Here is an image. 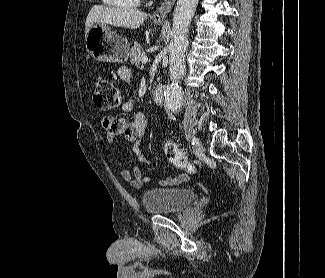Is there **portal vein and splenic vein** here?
I'll return each instance as SVG.
<instances>
[{"mask_svg":"<svg viewBox=\"0 0 325 278\" xmlns=\"http://www.w3.org/2000/svg\"><path fill=\"white\" fill-rule=\"evenodd\" d=\"M141 61H142V64H146L147 61H148V57L147 56H143Z\"/></svg>","mask_w":325,"mask_h":278,"instance_id":"obj_1","label":"portal vein and splenic vein"}]
</instances>
